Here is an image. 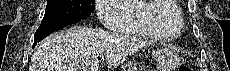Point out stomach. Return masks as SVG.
Returning a JSON list of instances; mask_svg holds the SVG:
<instances>
[{
    "label": "stomach",
    "instance_id": "stomach-1",
    "mask_svg": "<svg viewBox=\"0 0 230 71\" xmlns=\"http://www.w3.org/2000/svg\"><path fill=\"white\" fill-rule=\"evenodd\" d=\"M154 57L158 63V69L160 71H173L179 63L177 54L169 49H162L157 51L154 54ZM131 69L132 70L128 71H136V68Z\"/></svg>",
    "mask_w": 230,
    "mask_h": 71
}]
</instances>
